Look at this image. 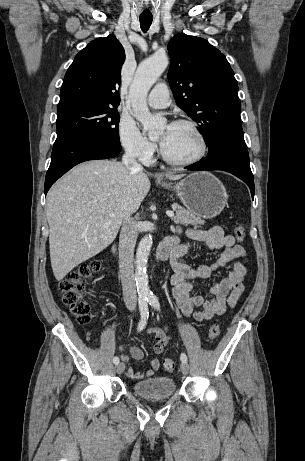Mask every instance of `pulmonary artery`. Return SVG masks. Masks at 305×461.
<instances>
[{
  "instance_id": "e3ab8cb5",
  "label": "pulmonary artery",
  "mask_w": 305,
  "mask_h": 461,
  "mask_svg": "<svg viewBox=\"0 0 305 461\" xmlns=\"http://www.w3.org/2000/svg\"><path fill=\"white\" fill-rule=\"evenodd\" d=\"M148 104L153 108H166L169 106V90L165 83H159L152 89L148 96Z\"/></svg>"
}]
</instances>
